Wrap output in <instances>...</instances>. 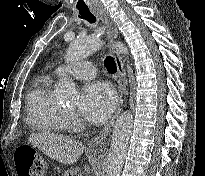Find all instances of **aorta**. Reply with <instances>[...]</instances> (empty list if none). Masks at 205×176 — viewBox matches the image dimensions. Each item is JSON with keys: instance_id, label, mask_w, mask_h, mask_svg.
I'll use <instances>...</instances> for the list:
<instances>
[{"instance_id": "762f6f07", "label": "aorta", "mask_w": 205, "mask_h": 176, "mask_svg": "<svg viewBox=\"0 0 205 176\" xmlns=\"http://www.w3.org/2000/svg\"><path fill=\"white\" fill-rule=\"evenodd\" d=\"M103 42L90 36L84 39H75L67 50V58L70 61L84 59L93 52L98 51ZM116 48L120 53H127V48L121 42L116 43ZM57 97L67 102L75 101L77 90L74 82L69 78L61 79L56 85ZM133 127V115L131 112L122 113L117 119L112 135L111 146L107 157L106 176H119L128 146V141Z\"/></svg>"}]
</instances>
